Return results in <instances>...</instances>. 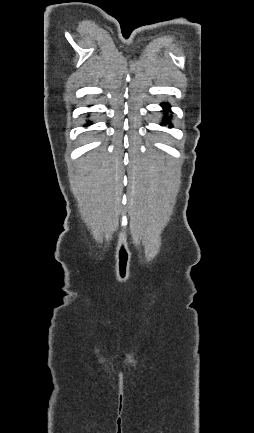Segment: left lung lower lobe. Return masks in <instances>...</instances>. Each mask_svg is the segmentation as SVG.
Masks as SVG:
<instances>
[{
  "label": "left lung lower lobe",
  "instance_id": "obj_1",
  "mask_svg": "<svg viewBox=\"0 0 254 433\" xmlns=\"http://www.w3.org/2000/svg\"><path fill=\"white\" fill-rule=\"evenodd\" d=\"M161 106L164 108V111H165V112H168V109L170 108V106H169L167 103H163V104H161ZM162 124H163V125H166V124H167V121L165 120ZM168 124L170 125L169 122H168ZM170 127H171V126H170Z\"/></svg>",
  "mask_w": 254,
  "mask_h": 433
}]
</instances>
